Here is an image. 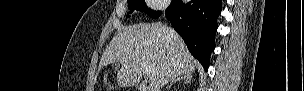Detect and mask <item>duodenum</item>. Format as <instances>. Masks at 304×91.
Segmentation results:
<instances>
[{"label":"duodenum","mask_w":304,"mask_h":91,"mask_svg":"<svg viewBox=\"0 0 304 91\" xmlns=\"http://www.w3.org/2000/svg\"><path fill=\"white\" fill-rule=\"evenodd\" d=\"M142 91H150L149 89H145V88H143V89H141Z\"/></svg>","instance_id":"1"}]
</instances>
